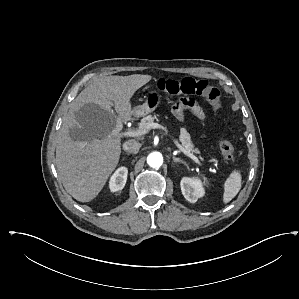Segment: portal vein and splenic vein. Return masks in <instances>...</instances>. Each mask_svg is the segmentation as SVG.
Here are the masks:
<instances>
[{
  "instance_id": "portal-vein-and-splenic-vein-1",
  "label": "portal vein and splenic vein",
  "mask_w": 299,
  "mask_h": 299,
  "mask_svg": "<svg viewBox=\"0 0 299 299\" xmlns=\"http://www.w3.org/2000/svg\"><path fill=\"white\" fill-rule=\"evenodd\" d=\"M148 129H161L163 131H165L173 140L174 144L177 146V148H179L180 151H182L186 156L190 157L195 163H197L199 166H202V163L200 162V160L193 154L191 153L189 150H186L175 138H173L167 127L159 124V123H150L147 127V129L144 130H136V131H128L125 133H122V135H126V136H141L147 133ZM122 130V122L120 120H117L116 122V128L112 131V135L113 136H119L121 135L120 131Z\"/></svg>"
}]
</instances>
